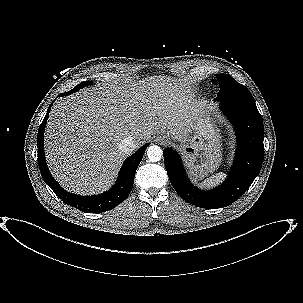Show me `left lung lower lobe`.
I'll return each instance as SVG.
<instances>
[{
    "label": "left lung lower lobe",
    "mask_w": 303,
    "mask_h": 303,
    "mask_svg": "<svg viewBox=\"0 0 303 303\" xmlns=\"http://www.w3.org/2000/svg\"><path fill=\"white\" fill-rule=\"evenodd\" d=\"M223 113L237 135V151L230 174L218 188L203 191L188 180L180 156L171 148L164 149V163L169 180L185 201L201 208L227 206L248 190L260 172L264 159V127L254 101L220 100Z\"/></svg>",
    "instance_id": "0a47b994"
}]
</instances>
